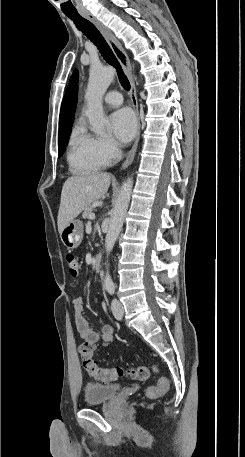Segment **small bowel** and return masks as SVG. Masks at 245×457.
<instances>
[{"label":"small bowel","instance_id":"small-bowel-1","mask_svg":"<svg viewBox=\"0 0 245 457\" xmlns=\"http://www.w3.org/2000/svg\"><path fill=\"white\" fill-rule=\"evenodd\" d=\"M73 309L75 314L76 328L79 336L90 343L101 341L107 345L112 340V328L109 325H104L100 332L95 331L83 316V299L77 297L73 300Z\"/></svg>","mask_w":245,"mask_h":457}]
</instances>
